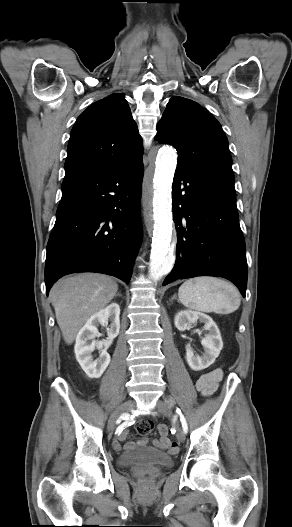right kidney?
Instances as JSON below:
<instances>
[{"mask_svg": "<svg viewBox=\"0 0 292 527\" xmlns=\"http://www.w3.org/2000/svg\"><path fill=\"white\" fill-rule=\"evenodd\" d=\"M119 316V305L117 303H112L91 316L76 337V344L74 347L76 359L90 378L101 377L110 363V355L107 353V349L112 344L114 338L119 334ZM108 321H110L111 324L107 328V339L95 341L94 338L98 334L97 327L99 325H107ZM89 340H92V342L89 343ZM95 348L100 350V356L96 360H94L91 355Z\"/></svg>", "mask_w": 292, "mask_h": 527, "instance_id": "ca27d5eb", "label": "right kidney"}]
</instances>
